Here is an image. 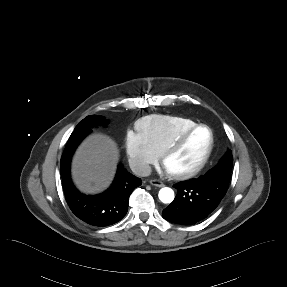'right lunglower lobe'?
<instances>
[{"label":"right lung lower lobe","instance_id":"98d812e1","mask_svg":"<svg viewBox=\"0 0 287 287\" xmlns=\"http://www.w3.org/2000/svg\"><path fill=\"white\" fill-rule=\"evenodd\" d=\"M91 132V128L74 130L61 157L60 173L65 199L73 214L89 225L105 227L126 215L129 197L142 181L120 164L111 187L105 192L93 196L79 192L70 177L71 158L80 142Z\"/></svg>","mask_w":287,"mask_h":287}]
</instances>
